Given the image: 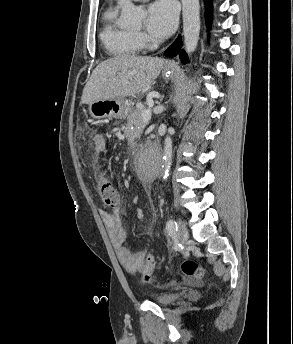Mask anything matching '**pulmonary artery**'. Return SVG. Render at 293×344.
Masks as SVG:
<instances>
[{
  "mask_svg": "<svg viewBox=\"0 0 293 344\" xmlns=\"http://www.w3.org/2000/svg\"><path fill=\"white\" fill-rule=\"evenodd\" d=\"M118 1H123V0H118ZM136 1H145V0H136Z\"/></svg>",
  "mask_w": 293,
  "mask_h": 344,
  "instance_id": "1",
  "label": "pulmonary artery"
}]
</instances>
